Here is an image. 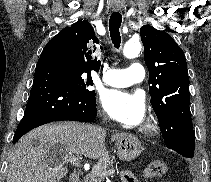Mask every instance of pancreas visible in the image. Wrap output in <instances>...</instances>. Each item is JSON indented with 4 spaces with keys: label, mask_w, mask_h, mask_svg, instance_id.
<instances>
[{
    "label": "pancreas",
    "mask_w": 211,
    "mask_h": 182,
    "mask_svg": "<svg viewBox=\"0 0 211 182\" xmlns=\"http://www.w3.org/2000/svg\"><path fill=\"white\" fill-rule=\"evenodd\" d=\"M115 162V157L113 155H105L102 157L98 163L92 168V171L88 173L82 182H102L106 177L103 174L112 169Z\"/></svg>",
    "instance_id": "pancreas-1"
}]
</instances>
